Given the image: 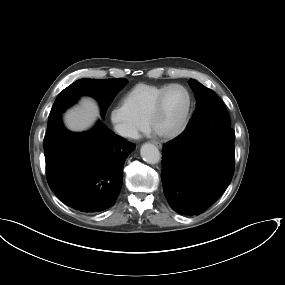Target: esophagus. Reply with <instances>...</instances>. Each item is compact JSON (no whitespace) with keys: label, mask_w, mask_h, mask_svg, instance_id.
<instances>
[{"label":"esophagus","mask_w":285,"mask_h":285,"mask_svg":"<svg viewBox=\"0 0 285 285\" xmlns=\"http://www.w3.org/2000/svg\"><path fill=\"white\" fill-rule=\"evenodd\" d=\"M152 143H153L154 145H156L158 148H162V144H161L160 142H158V141H152Z\"/></svg>","instance_id":"obj_1"}]
</instances>
